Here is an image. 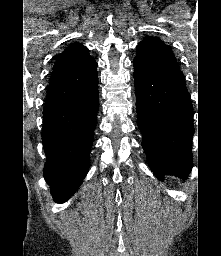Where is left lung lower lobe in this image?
Instances as JSON below:
<instances>
[{
	"label": "left lung lower lobe",
	"mask_w": 221,
	"mask_h": 256,
	"mask_svg": "<svg viewBox=\"0 0 221 256\" xmlns=\"http://www.w3.org/2000/svg\"><path fill=\"white\" fill-rule=\"evenodd\" d=\"M138 127L159 179H187L192 167L193 109L182 73L134 71Z\"/></svg>",
	"instance_id": "0a47b994"
}]
</instances>
